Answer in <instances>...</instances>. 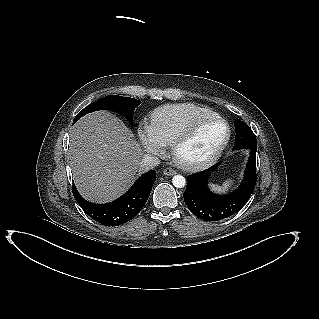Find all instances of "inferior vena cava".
<instances>
[{"label": "inferior vena cava", "mask_w": 319, "mask_h": 319, "mask_svg": "<svg viewBox=\"0 0 319 319\" xmlns=\"http://www.w3.org/2000/svg\"><path fill=\"white\" fill-rule=\"evenodd\" d=\"M160 164V159L151 154H145L140 162V170L147 171L153 169Z\"/></svg>", "instance_id": "inferior-vena-cava-1"}]
</instances>
